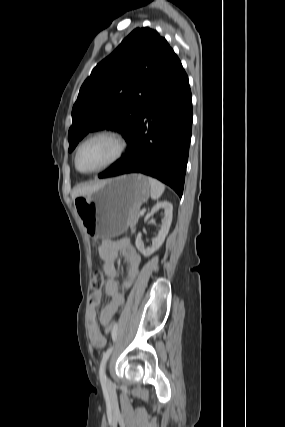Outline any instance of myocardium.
<instances>
[{
    "label": "myocardium",
    "instance_id": "myocardium-1",
    "mask_svg": "<svg viewBox=\"0 0 285 427\" xmlns=\"http://www.w3.org/2000/svg\"><path fill=\"white\" fill-rule=\"evenodd\" d=\"M98 137H110L112 139H114L117 144H118V149L116 154L114 155V157L107 162L106 164H104L103 166L91 170V171H83L80 169L79 164H78V157H79V153L80 150L82 149V147L88 143L89 141L98 138ZM127 150V141L125 139V137L118 131L116 130H112V129H104V130H100L98 132H95L93 134H91L90 136H88L87 138H85L77 147L76 152H75V157H74V163H75V167L76 169L82 173V174H95V173H100L102 171H105L107 169H109L110 167H112L113 165H115L125 154Z\"/></svg>",
    "mask_w": 285,
    "mask_h": 427
}]
</instances>
